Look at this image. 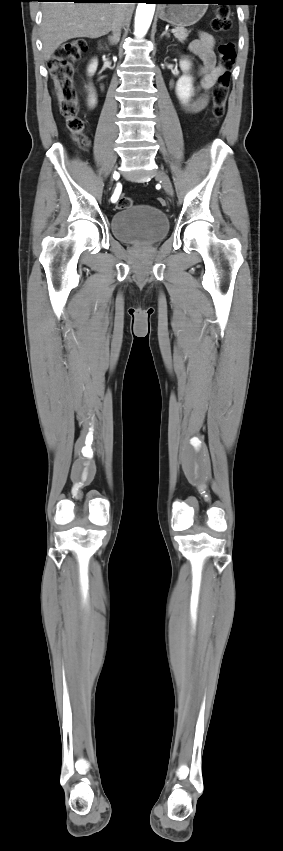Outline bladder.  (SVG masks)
I'll return each instance as SVG.
<instances>
[{
	"mask_svg": "<svg viewBox=\"0 0 283 851\" xmlns=\"http://www.w3.org/2000/svg\"><path fill=\"white\" fill-rule=\"evenodd\" d=\"M169 230L166 214L151 205H133L113 214L111 231L126 243L150 244L164 238Z\"/></svg>",
	"mask_w": 283,
	"mask_h": 851,
	"instance_id": "1",
	"label": "bladder"
}]
</instances>
